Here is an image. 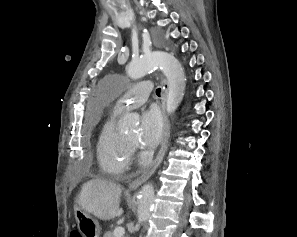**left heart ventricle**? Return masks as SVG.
<instances>
[{
	"label": "left heart ventricle",
	"mask_w": 297,
	"mask_h": 237,
	"mask_svg": "<svg viewBox=\"0 0 297 237\" xmlns=\"http://www.w3.org/2000/svg\"><path fill=\"white\" fill-rule=\"evenodd\" d=\"M124 138H126L128 141L136 143L137 142V138H138V132L137 130H133L130 131L129 133H127Z\"/></svg>",
	"instance_id": "b2bd125f"
}]
</instances>
